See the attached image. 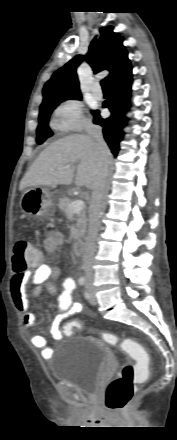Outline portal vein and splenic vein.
Masks as SVG:
<instances>
[{
    "mask_svg": "<svg viewBox=\"0 0 177 440\" xmlns=\"http://www.w3.org/2000/svg\"><path fill=\"white\" fill-rule=\"evenodd\" d=\"M66 167L68 168L70 166L66 165ZM84 207H85L84 201L79 199V200L74 201L69 206L68 212L69 213H78V212L82 211L84 209Z\"/></svg>",
    "mask_w": 177,
    "mask_h": 440,
    "instance_id": "1",
    "label": "portal vein and splenic vein"
}]
</instances>
